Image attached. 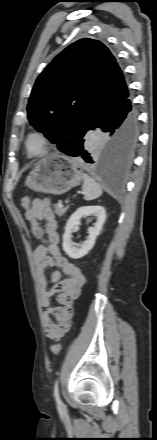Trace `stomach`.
Returning a JSON list of instances; mask_svg holds the SVG:
<instances>
[{
    "label": "stomach",
    "instance_id": "stomach-1",
    "mask_svg": "<svg viewBox=\"0 0 157 440\" xmlns=\"http://www.w3.org/2000/svg\"><path fill=\"white\" fill-rule=\"evenodd\" d=\"M81 165L65 155H50L39 160L26 177L25 185L41 193L60 195L82 180Z\"/></svg>",
    "mask_w": 157,
    "mask_h": 440
}]
</instances>
